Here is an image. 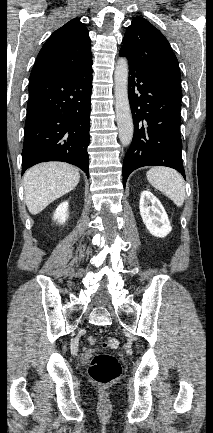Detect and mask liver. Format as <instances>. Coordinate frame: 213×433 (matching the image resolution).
Listing matches in <instances>:
<instances>
[{"mask_svg":"<svg viewBox=\"0 0 213 433\" xmlns=\"http://www.w3.org/2000/svg\"><path fill=\"white\" fill-rule=\"evenodd\" d=\"M80 180L77 168L63 162H46L28 169L23 176L25 202L33 215L73 190Z\"/></svg>","mask_w":213,"mask_h":433,"instance_id":"1","label":"liver"}]
</instances>
